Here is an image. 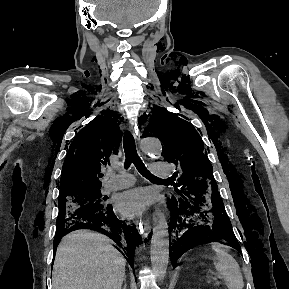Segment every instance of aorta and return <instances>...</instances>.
<instances>
[{
  "instance_id": "1",
  "label": "aorta",
  "mask_w": 289,
  "mask_h": 289,
  "mask_svg": "<svg viewBox=\"0 0 289 289\" xmlns=\"http://www.w3.org/2000/svg\"><path fill=\"white\" fill-rule=\"evenodd\" d=\"M140 147L142 153L148 157L158 159L162 154V145L158 139L144 138L141 140ZM159 220L153 229L151 238V263L154 274L159 281L166 275L169 262V238L168 225L163 213H159Z\"/></svg>"
}]
</instances>
